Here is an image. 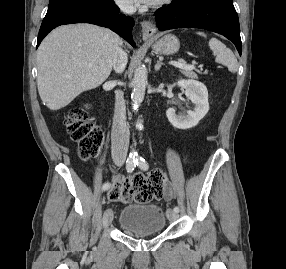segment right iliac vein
<instances>
[{"instance_id":"1","label":"right iliac vein","mask_w":286,"mask_h":269,"mask_svg":"<svg viewBox=\"0 0 286 269\" xmlns=\"http://www.w3.org/2000/svg\"><path fill=\"white\" fill-rule=\"evenodd\" d=\"M113 217H114V214H113V211L112 209H106L104 211V214H103V225L104 226H109L112 221H113Z\"/></svg>"}]
</instances>
